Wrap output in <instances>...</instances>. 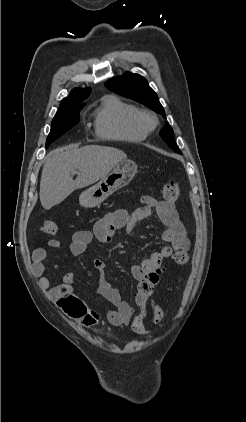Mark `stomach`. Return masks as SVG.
<instances>
[{
	"label": "stomach",
	"mask_w": 246,
	"mask_h": 422,
	"mask_svg": "<svg viewBox=\"0 0 246 422\" xmlns=\"http://www.w3.org/2000/svg\"><path fill=\"white\" fill-rule=\"evenodd\" d=\"M136 173L137 165L133 161L123 160L118 162L96 185L80 195V204L86 208L98 206L114 192L127 186Z\"/></svg>",
	"instance_id": "1"
}]
</instances>
